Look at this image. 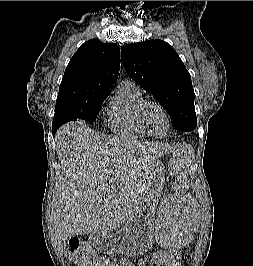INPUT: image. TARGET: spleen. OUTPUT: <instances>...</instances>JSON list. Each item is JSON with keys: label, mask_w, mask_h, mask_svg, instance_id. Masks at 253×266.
Returning a JSON list of instances; mask_svg holds the SVG:
<instances>
[{"label": "spleen", "mask_w": 253, "mask_h": 266, "mask_svg": "<svg viewBox=\"0 0 253 266\" xmlns=\"http://www.w3.org/2000/svg\"><path fill=\"white\" fill-rule=\"evenodd\" d=\"M179 160L171 161L172 169H190L184 153ZM171 199H198V190H171ZM200 212L194 207H158L154 215V234L156 246L164 248H189V242L197 241V234L190 233L197 228Z\"/></svg>", "instance_id": "spleen-1"}]
</instances>
